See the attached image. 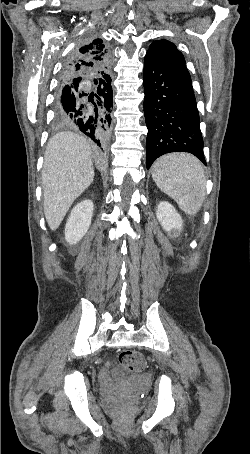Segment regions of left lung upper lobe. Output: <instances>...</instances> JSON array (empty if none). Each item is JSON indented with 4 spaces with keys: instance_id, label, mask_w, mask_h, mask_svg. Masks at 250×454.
<instances>
[{
    "instance_id": "obj_1",
    "label": "left lung upper lobe",
    "mask_w": 250,
    "mask_h": 454,
    "mask_svg": "<svg viewBox=\"0 0 250 454\" xmlns=\"http://www.w3.org/2000/svg\"><path fill=\"white\" fill-rule=\"evenodd\" d=\"M147 54L163 61L185 64L182 53L177 49L175 44L168 40L162 39L154 41L150 45Z\"/></svg>"
}]
</instances>
